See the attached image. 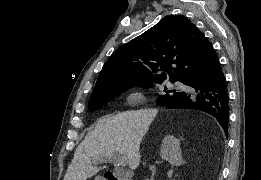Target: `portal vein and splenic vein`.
Listing matches in <instances>:
<instances>
[{
	"label": "portal vein and splenic vein",
	"mask_w": 261,
	"mask_h": 180,
	"mask_svg": "<svg viewBox=\"0 0 261 180\" xmlns=\"http://www.w3.org/2000/svg\"><path fill=\"white\" fill-rule=\"evenodd\" d=\"M119 154V152H118ZM120 164H125V162H127V158H120L119 160Z\"/></svg>",
	"instance_id": "portal-vein-and-splenic-vein-1"
}]
</instances>
